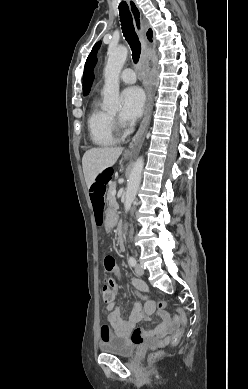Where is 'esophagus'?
I'll return each mask as SVG.
<instances>
[{
	"label": "esophagus",
	"mask_w": 248,
	"mask_h": 389,
	"mask_svg": "<svg viewBox=\"0 0 248 389\" xmlns=\"http://www.w3.org/2000/svg\"><path fill=\"white\" fill-rule=\"evenodd\" d=\"M127 2H128L129 9H130V12H131L133 20H134L136 31L140 37V40H141L143 53L146 54L150 51V49L148 47V44H147V41H146L145 35H144V25H143L142 20H141V11H140L138 5L136 4L135 0H127ZM147 94H148V98H147L145 116L141 122V125H140V127H139V129H138V131L133 139V143L131 144L130 147H133V145L144 135L145 129L148 126V123L150 120L151 111H152V94H151L150 87H147Z\"/></svg>",
	"instance_id": "34e87169"
}]
</instances>
